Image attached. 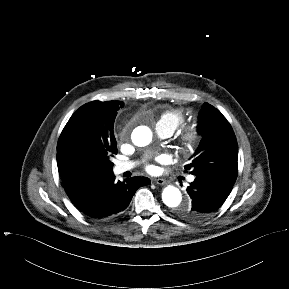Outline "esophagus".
I'll use <instances>...</instances> for the list:
<instances>
[{
	"label": "esophagus",
	"instance_id": "obj_1",
	"mask_svg": "<svg viewBox=\"0 0 289 289\" xmlns=\"http://www.w3.org/2000/svg\"><path fill=\"white\" fill-rule=\"evenodd\" d=\"M153 181L158 184V185H165L167 184V181L163 178H156V179H153Z\"/></svg>",
	"mask_w": 289,
	"mask_h": 289
}]
</instances>
